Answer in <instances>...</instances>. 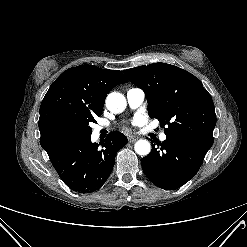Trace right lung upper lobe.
<instances>
[{
    "label": "right lung upper lobe",
    "mask_w": 247,
    "mask_h": 247,
    "mask_svg": "<svg viewBox=\"0 0 247 247\" xmlns=\"http://www.w3.org/2000/svg\"><path fill=\"white\" fill-rule=\"evenodd\" d=\"M126 82L121 71L92 65L64 71L50 86L40 106V143L48 155L64 144L57 133L61 123L101 115L109 91Z\"/></svg>",
    "instance_id": "cb5924a9"
}]
</instances>
